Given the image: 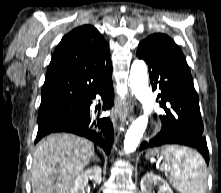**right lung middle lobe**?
Here are the masks:
<instances>
[{
	"label": "right lung middle lobe",
	"instance_id": "dd1d6c3e",
	"mask_svg": "<svg viewBox=\"0 0 221 193\" xmlns=\"http://www.w3.org/2000/svg\"><path fill=\"white\" fill-rule=\"evenodd\" d=\"M84 109L83 99H56L41 102L38 129L51 127L71 119Z\"/></svg>",
	"mask_w": 221,
	"mask_h": 193
}]
</instances>
